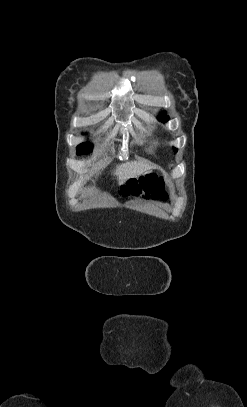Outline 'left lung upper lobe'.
<instances>
[{
    "label": "left lung upper lobe",
    "mask_w": 247,
    "mask_h": 407,
    "mask_svg": "<svg viewBox=\"0 0 247 407\" xmlns=\"http://www.w3.org/2000/svg\"><path fill=\"white\" fill-rule=\"evenodd\" d=\"M159 120H161L162 122H166L168 120V116L166 115L165 112H163L159 115ZM173 150H174V152H177L176 148H174Z\"/></svg>",
    "instance_id": "1"
}]
</instances>
